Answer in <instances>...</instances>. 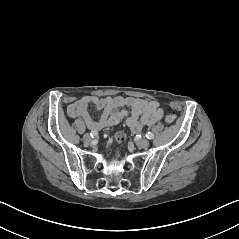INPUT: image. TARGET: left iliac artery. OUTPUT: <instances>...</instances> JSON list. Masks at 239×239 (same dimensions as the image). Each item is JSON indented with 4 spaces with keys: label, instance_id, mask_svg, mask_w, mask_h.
<instances>
[{
    "label": "left iliac artery",
    "instance_id": "1",
    "mask_svg": "<svg viewBox=\"0 0 239 239\" xmlns=\"http://www.w3.org/2000/svg\"><path fill=\"white\" fill-rule=\"evenodd\" d=\"M146 137H147L148 139H153V138H154V134H153L152 132H147V133H146Z\"/></svg>",
    "mask_w": 239,
    "mask_h": 239
}]
</instances>
